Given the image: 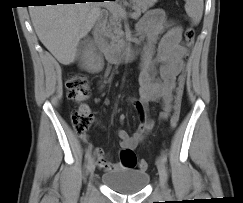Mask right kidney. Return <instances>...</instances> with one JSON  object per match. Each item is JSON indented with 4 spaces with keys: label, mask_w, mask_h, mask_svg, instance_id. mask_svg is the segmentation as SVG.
<instances>
[{
    "label": "right kidney",
    "mask_w": 243,
    "mask_h": 203,
    "mask_svg": "<svg viewBox=\"0 0 243 203\" xmlns=\"http://www.w3.org/2000/svg\"><path fill=\"white\" fill-rule=\"evenodd\" d=\"M81 67L91 73H98L103 68V59L96 53V48L93 43H87L82 50Z\"/></svg>",
    "instance_id": "1"
}]
</instances>
